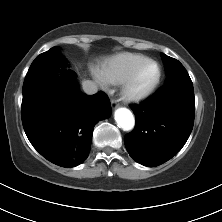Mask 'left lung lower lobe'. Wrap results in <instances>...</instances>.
<instances>
[{"mask_svg":"<svg viewBox=\"0 0 222 222\" xmlns=\"http://www.w3.org/2000/svg\"><path fill=\"white\" fill-rule=\"evenodd\" d=\"M131 109L136 126L124 137L126 149L136 162L158 166L175 156L190 136L195 113L192 81L166 83Z\"/></svg>","mask_w":222,"mask_h":222,"instance_id":"obj_1","label":"left lung lower lobe"}]
</instances>
